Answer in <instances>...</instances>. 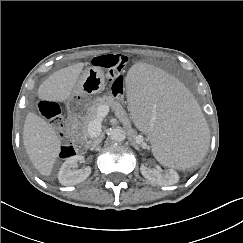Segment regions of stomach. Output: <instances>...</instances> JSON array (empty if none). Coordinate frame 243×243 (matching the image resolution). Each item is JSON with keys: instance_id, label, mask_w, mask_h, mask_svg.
I'll return each instance as SVG.
<instances>
[{"instance_id": "stomach-1", "label": "stomach", "mask_w": 243, "mask_h": 243, "mask_svg": "<svg viewBox=\"0 0 243 243\" xmlns=\"http://www.w3.org/2000/svg\"><path fill=\"white\" fill-rule=\"evenodd\" d=\"M104 72L99 67H88L79 76L72 95L67 100L68 115L76 118L83 109L89 106L87 98L105 89Z\"/></svg>"}]
</instances>
